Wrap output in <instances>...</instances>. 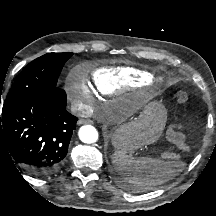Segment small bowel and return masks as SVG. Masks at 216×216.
I'll return each instance as SVG.
<instances>
[{
	"label": "small bowel",
	"instance_id": "small-bowel-1",
	"mask_svg": "<svg viewBox=\"0 0 216 216\" xmlns=\"http://www.w3.org/2000/svg\"><path fill=\"white\" fill-rule=\"evenodd\" d=\"M169 141L179 150L186 152L189 147L185 141L183 133L179 130L177 126H172L168 133Z\"/></svg>",
	"mask_w": 216,
	"mask_h": 216
}]
</instances>
